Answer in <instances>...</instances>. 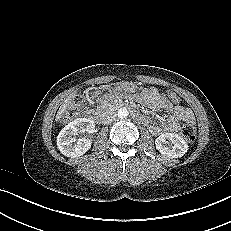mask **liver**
<instances>
[{
    "instance_id": "1",
    "label": "liver",
    "mask_w": 231,
    "mask_h": 231,
    "mask_svg": "<svg viewBox=\"0 0 231 231\" xmlns=\"http://www.w3.org/2000/svg\"><path fill=\"white\" fill-rule=\"evenodd\" d=\"M74 95H70L69 97H67L64 102L62 103V105L60 106L57 114H56V122H58L60 120V118L62 117V115L66 112V110L69 108L70 104H71V100L72 97Z\"/></svg>"
}]
</instances>
